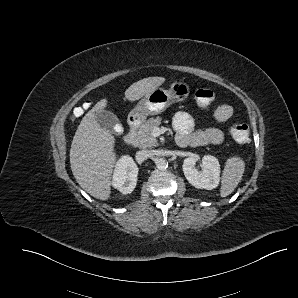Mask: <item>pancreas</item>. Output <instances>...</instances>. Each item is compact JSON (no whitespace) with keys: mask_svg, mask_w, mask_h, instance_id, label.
I'll return each instance as SVG.
<instances>
[{"mask_svg":"<svg viewBox=\"0 0 298 298\" xmlns=\"http://www.w3.org/2000/svg\"><path fill=\"white\" fill-rule=\"evenodd\" d=\"M161 121L162 118L157 116L155 118H149L145 123L141 124L136 132L134 145L141 149L158 146V140L152 135V131L154 127L161 125Z\"/></svg>","mask_w":298,"mask_h":298,"instance_id":"cf45deb5","label":"pancreas"}]
</instances>
